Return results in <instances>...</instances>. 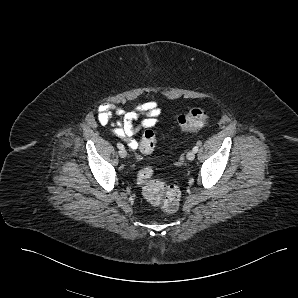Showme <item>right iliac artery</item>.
<instances>
[{
    "instance_id": "right-iliac-artery-1",
    "label": "right iliac artery",
    "mask_w": 298,
    "mask_h": 298,
    "mask_svg": "<svg viewBox=\"0 0 298 298\" xmlns=\"http://www.w3.org/2000/svg\"><path fill=\"white\" fill-rule=\"evenodd\" d=\"M117 147H118L119 149H124V146H123L121 143H117Z\"/></svg>"
}]
</instances>
